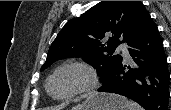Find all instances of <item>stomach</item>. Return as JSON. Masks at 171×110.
<instances>
[{
	"label": "stomach",
	"mask_w": 171,
	"mask_h": 110,
	"mask_svg": "<svg viewBox=\"0 0 171 110\" xmlns=\"http://www.w3.org/2000/svg\"><path fill=\"white\" fill-rule=\"evenodd\" d=\"M125 99L117 95L94 94L83 104L72 110H126Z\"/></svg>",
	"instance_id": "stomach-1"
}]
</instances>
